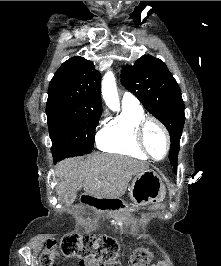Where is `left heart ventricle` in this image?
I'll use <instances>...</instances> for the list:
<instances>
[{
  "instance_id": "1",
  "label": "left heart ventricle",
  "mask_w": 221,
  "mask_h": 266,
  "mask_svg": "<svg viewBox=\"0 0 221 266\" xmlns=\"http://www.w3.org/2000/svg\"><path fill=\"white\" fill-rule=\"evenodd\" d=\"M145 142L155 158H161L165 152L166 142L162 132L154 124H149L145 131Z\"/></svg>"
}]
</instances>
